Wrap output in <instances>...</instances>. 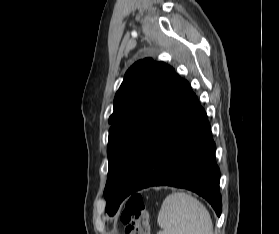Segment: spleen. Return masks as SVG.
I'll return each instance as SVG.
<instances>
[{"label":"spleen","mask_w":279,"mask_h":234,"mask_svg":"<svg viewBox=\"0 0 279 234\" xmlns=\"http://www.w3.org/2000/svg\"><path fill=\"white\" fill-rule=\"evenodd\" d=\"M157 234H213V224L206 207L193 196L176 192L167 196L158 213Z\"/></svg>","instance_id":"3e777b00"}]
</instances>
